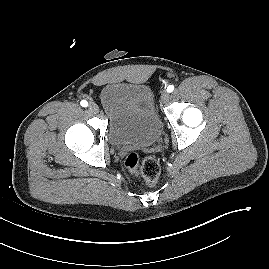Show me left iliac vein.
<instances>
[{
  "label": "left iliac vein",
  "instance_id": "obj_1",
  "mask_svg": "<svg viewBox=\"0 0 269 269\" xmlns=\"http://www.w3.org/2000/svg\"><path fill=\"white\" fill-rule=\"evenodd\" d=\"M170 95L167 91H163L161 94V101L167 103L169 101Z\"/></svg>",
  "mask_w": 269,
  "mask_h": 269
}]
</instances>
